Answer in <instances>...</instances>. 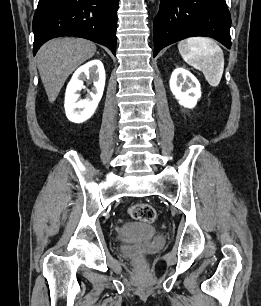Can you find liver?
Masks as SVG:
<instances>
[{"label":"liver","instance_id":"obj_1","mask_svg":"<svg viewBox=\"0 0 261 306\" xmlns=\"http://www.w3.org/2000/svg\"><path fill=\"white\" fill-rule=\"evenodd\" d=\"M95 52L94 43L74 37L52 39L40 48L38 70L49 102L56 100L69 75Z\"/></svg>","mask_w":261,"mask_h":306}]
</instances>
